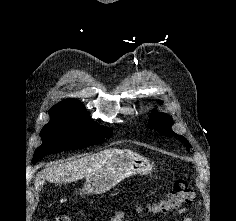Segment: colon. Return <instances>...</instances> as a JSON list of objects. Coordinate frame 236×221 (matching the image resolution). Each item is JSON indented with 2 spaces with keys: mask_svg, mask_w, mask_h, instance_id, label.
Wrapping results in <instances>:
<instances>
[{
  "mask_svg": "<svg viewBox=\"0 0 236 221\" xmlns=\"http://www.w3.org/2000/svg\"><path fill=\"white\" fill-rule=\"evenodd\" d=\"M195 200V192L184 180H178L162 199L152 205V210L167 214L180 210ZM53 221H74L69 215L60 213Z\"/></svg>",
  "mask_w": 236,
  "mask_h": 221,
  "instance_id": "colon-1",
  "label": "colon"
}]
</instances>
